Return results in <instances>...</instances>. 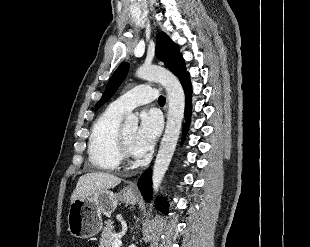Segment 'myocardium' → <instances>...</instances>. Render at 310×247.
<instances>
[{
	"label": "myocardium",
	"instance_id": "myocardium-1",
	"mask_svg": "<svg viewBox=\"0 0 310 247\" xmlns=\"http://www.w3.org/2000/svg\"><path fill=\"white\" fill-rule=\"evenodd\" d=\"M119 149H120L122 159H125V160L132 159L133 156H132L131 149L126 142L124 138L123 130L121 129L119 131Z\"/></svg>",
	"mask_w": 310,
	"mask_h": 247
}]
</instances>
